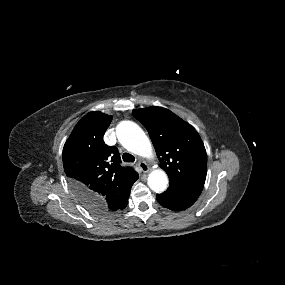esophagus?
Masks as SVG:
<instances>
[{
	"mask_svg": "<svg viewBox=\"0 0 285 285\" xmlns=\"http://www.w3.org/2000/svg\"><path fill=\"white\" fill-rule=\"evenodd\" d=\"M137 165H138V168L140 169V171H142L144 173H147L150 170L148 164L144 161H139Z\"/></svg>",
	"mask_w": 285,
	"mask_h": 285,
	"instance_id": "esophagus-1",
	"label": "esophagus"
}]
</instances>
